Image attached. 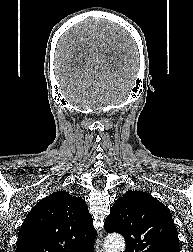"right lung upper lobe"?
Instances as JSON below:
<instances>
[{"instance_id":"1","label":"right lung upper lobe","mask_w":193,"mask_h":252,"mask_svg":"<svg viewBox=\"0 0 193 252\" xmlns=\"http://www.w3.org/2000/svg\"><path fill=\"white\" fill-rule=\"evenodd\" d=\"M96 234L86 202L66 191L54 192L25 218L16 252H92Z\"/></svg>"}]
</instances>
